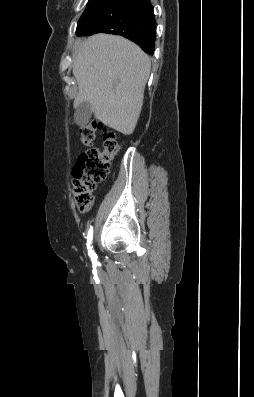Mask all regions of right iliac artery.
I'll return each instance as SVG.
<instances>
[{
    "mask_svg": "<svg viewBox=\"0 0 254 397\" xmlns=\"http://www.w3.org/2000/svg\"><path fill=\"white\" fill-rule=\"evenodd\" d=\"M92 239H93V228L91 227L88 235H87V249H88V255L90 256V258L92 259V261L96 260V254L94 253L93 249H92Z\"/></svg>",
    "mask_w": 254,
    "mask_h": 397,
    "instance_id": "1",
    "label": "right iliac artery"
}]
</instances>
